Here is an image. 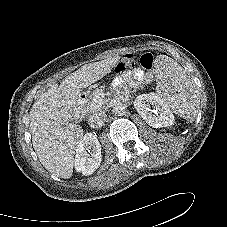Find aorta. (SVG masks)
<instances>
[{"mask_svg": "<svg viewBox=\"0 0 227 227\" xmlns=\"http://www.w3.org/2000/svg\"><path fill=\"white\" fill-rule=\"evenodd\" d=\"M124 111H125V106L122 103H116L112 108V112L118 116L122 115Z\"/></svg>", "mask_w": 227, "mask_h": 227, "instance_id": "1", "label": "aorta"}]
</instances>
